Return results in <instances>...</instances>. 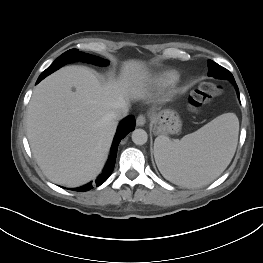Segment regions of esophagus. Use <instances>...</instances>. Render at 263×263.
<instances>
[{"mask_svg": "<svg viewBox=\"0 0 263 263\" xmlns=\"http://www.w3.org/2000/svg\"><path fill=\"white\" fill-rule=\"evenodd\" d=\"M146 123V117L143 114H140L136 119L137 126H143Z\"/></svg>", "mask_w": 263, "mask_h": 263, "instance_id": "1", "label": "esophagus"}]
</instances>
